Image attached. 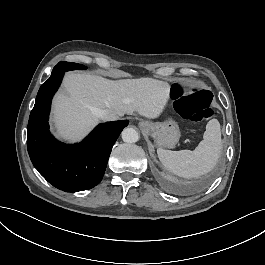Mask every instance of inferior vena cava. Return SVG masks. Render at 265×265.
<instances>
[{
  "instance_id": "inferior-vena-cava-1",
  "label": "inferior vena cava",
  "mask_w": 265,
  "mask_h": 265,
  "mask_svg": "<svg viewBox=\"0 0 265 265\" xmlns=\"http://www.w3.org/2000/svg\"><path fill=\"white\" fill-rule=\"evenodd\" d=\"M97 115L101 120H117L119 118L116 113L111 112L107 109L98 111Z\"/></svg>"
}]
</instances>
